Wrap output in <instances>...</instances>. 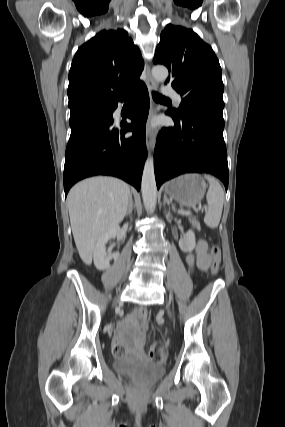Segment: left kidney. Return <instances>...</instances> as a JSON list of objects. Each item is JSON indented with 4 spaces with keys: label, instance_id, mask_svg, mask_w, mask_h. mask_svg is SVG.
<instances>
[{
    "label": "left kidney",
    "instance_id": "left-kidney-1",
    "mask_svg": "<svg viewBox=\"0 0 285 427\" xmlns=\"http://www.w3.org/2000/svg\"><path fill=\"white\" fill-rule=\"evenodd\" d=\"M196 246L195 234L189 230L184 238L179 240V247L183 252H192Z\"/></svg>",
    "mask_w": 285,
    "mask_h": 427
}]
</instances>
